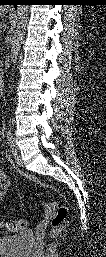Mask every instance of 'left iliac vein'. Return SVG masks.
I'll return each instance as SVG.
<instances>
[{
	"instance_id": "left-iliac-vein-1",
	"label": "left iliac vein",
	"mask_w": 106,
	"mask_h": 257,
	"mask_svg": "<svg viewBox=\"0 0 106 257\" xmlns=\"http://www.w3.org/2000/svg\"><path fill=\"white\" fill-rule=\"evenodd\" d=\"M18 153V146L16 145L15 141L13 140V143L11 145V154L13 156L17 155Z\"/></svg>"
}]
</instances>
